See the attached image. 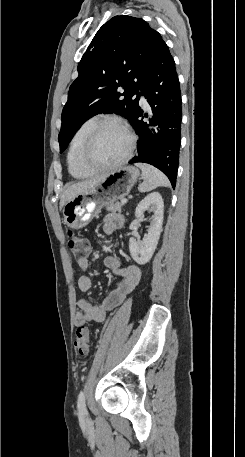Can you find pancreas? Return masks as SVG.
Masks as SVG:
<instances>
[{"label":"pancreas","instance_id":"1","mask_svg":"<svg viewBox=\"0 0 245 457\" xmlns=\"http://www.w3.org/2000/svg\"><path fill=\"white\" fill-rule=\"evenodd\" d=\"M124 202H106L104 204L106 210H119L121 212V206H123Z\"/></svg>","mask_w":245,"mask_h":457}]
</instances>
